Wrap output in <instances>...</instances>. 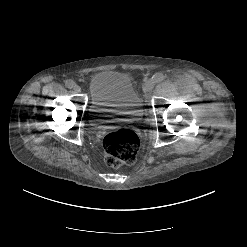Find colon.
<instances>
[{
    "mask_svg": "<svg viewBox=\"0 0 247 247\" xmlns=\"http://www.w3.org/2000/svg\"><path fill=\"white\" fill-rule=\"evenodd\" d=\"M102 144L105 151V163L110 167H120L135 161L140 140L134 131L120 129L107 133Z\"/></svg>",
    "mask_w": 247,
    "mask_h": 247,
    "instance_id": "obj_1",
    "label": "colon"
}]
</instances>
